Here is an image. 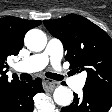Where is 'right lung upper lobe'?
<instances>
[{"label":"right lung upper lobe","instance_id":"right-lung-upper-lobe-1","mask_svg":"<svg viewBox=\"0 0 112 112\" xmlns=\"http://www.w3.org/2000/svg\"><path fill=\"white\" fill-rule=\"evenodd\" d=\"M41 24L40 20L32 21L18 17L0 19V107L3 105L12 88L19 83L18 79L8 81L7 58L17 55L24 45L26 32Z\"/></svg>","mask_w":112,"mask_h":112}]
</instances>
